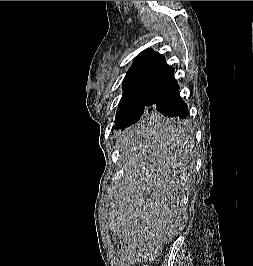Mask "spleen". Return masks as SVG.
<instances>
[{
	"instance_id": "obj_1",
	"label": "spleen",
	"mask_w": 253,
	"mask_h": 266,
	"mask_svg": "<svg viewBox=\"0 0 253 266\" xmlns=\"http://www.w3.org/2000/svg\"><path fill=\"white\" fill-rule=\"evenodd\" d=\"M154 123H142L134 135H117L115 155L121 156L126 190H112V229L125 248H164L172 235H182L184 202L191 178L188 150L184 141L186 123H174L176 115H150ZM184 215V216H183Z\"/></svg>"
}]
</instances>
